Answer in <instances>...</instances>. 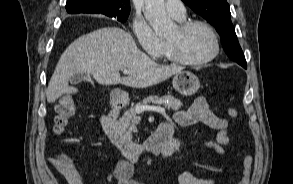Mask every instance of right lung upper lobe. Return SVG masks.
Here are the masks:
<instances>
[{"label":"right lung upper lobe","mask_w":293,"mask_h":184,"mask_svg":"<svg viewBox=\"0 0 293 184\" xmlns=\"http://www.w3.org/2000/svg\"><path fill=\"white\" fill-rule=\"evenodd\" d=\"M66 10L70 14H129L130 0H67Z\"/></svg>","instance_id":"right-lung-upper-lobe-1"}]
</instances>
